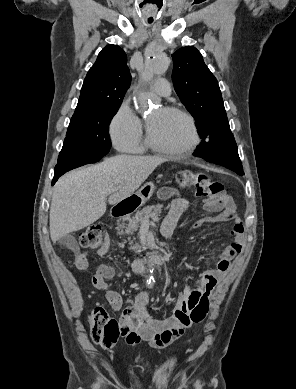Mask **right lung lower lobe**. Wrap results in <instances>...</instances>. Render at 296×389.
<instances>
[{
  "mask_svg": "<svg viewBox=\"0 0 296 389\" xmlns=\"http://www.w3.org/2000/svg\"><path fill=\"white\" fill-rule=\"evenodd\" d=\"M69 171L68 169H62V170H55L54 171V177L52 180V185L55 184V182L58 180V178L63 175L65 172Z\"/></svg>",
  "mask_w": 296,
  "mask_h": 389,
  "instance_id": "1",
  "label": "right lung lower lobe"
}]
</instances>
